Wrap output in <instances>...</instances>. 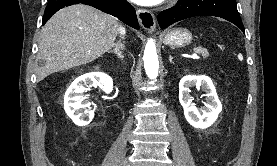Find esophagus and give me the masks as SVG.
<instances>
[{
  "instance_id": "obj_1",
  "label": "esophagus",
  "mask_w": 277,
  "mask_h": 166,
  "mask_svg": "<svg viewBox=\"0 0 277 166\" xmlns=\"http://www.w3.org/2000/svg\"><path fill=\"white\" fill-rule=\"evenodd\" d=\"M137 16L140 25L148 32H153L156 29L154 14L149 10L138 9Z\"/></svg>"
}]
</instances>
